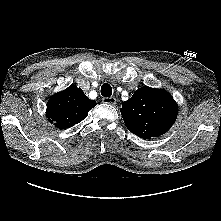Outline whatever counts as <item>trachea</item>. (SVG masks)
Here are the masks:
<instances>
[{
  "instance_id": "trachea-1",
  "label": "trachea",
  "mask_w": 221,
  "mask_h": 221,
  "mask_svg": "<svg viewBox=\"0 0 221 221\" xmlns=\"http://www.w3.org/2000/svg\"><path fill=\"white\" fill-rule=\"evenodd\" d=\"M101 95L104 97H110L112 95V87L108 83L102 85Z\"/></svg>"
}]
</instances>
